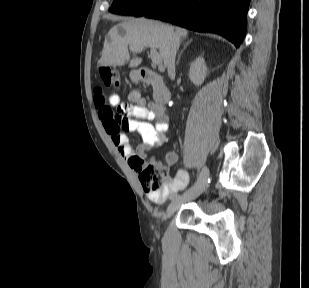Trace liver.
<instances>
[{
  "mask_svg": "<svg viewBox=\"0 0 309 288\" xmlns=\"http://www.w3.org/2000/svg\"><path fill=\"white\" fill-rule=\"evenodd\" d=\"M188 31L174 28L144 18L128 19L110 29L105 37L100 66H122L129 62V67H138L142 59H130L128 47H147L159 49L164 65L167 66L168 54L173 42H180Z\"/></svg>",
  "mask_w": 309,
  "mask_h": 288,
  "instance_id": "1",
  "label": "liver"
}]
</instances>
